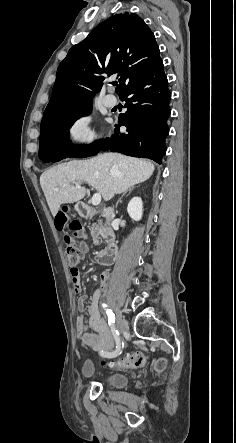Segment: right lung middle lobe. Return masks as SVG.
Masks as SVG:
<instances>
[{
    "label": "right lung middle lobe",
    "mask_w": 236,
    "mask_h": 443,
    "mask_svg": "<svg viewBox=\"0 0 236 443\" xmlns=\"http://www.w3.org/2000/svg\"><path fill=\"white\" fill-rule=\"evenodd\" d=\"M92 110V103L81 108L51 116L41 122L40 145L45 148L55 145H72L69 140V129L82 116Z\"/></svg>",
    "instance_id": "obj_1"
}]
</instances>
